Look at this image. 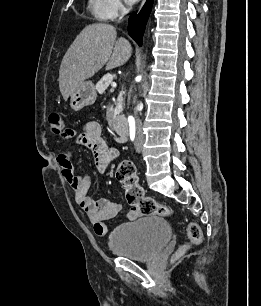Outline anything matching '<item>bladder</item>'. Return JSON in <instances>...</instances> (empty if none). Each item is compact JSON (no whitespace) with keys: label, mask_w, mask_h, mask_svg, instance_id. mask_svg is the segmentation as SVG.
<instances>
[{"label":"bladder","mask_w":261,"mask_h":306,"mask_svg":"<svg viewBox=\"0 0 261 306\" xmlns=\"http://www.w3.org/2000/svg\"><path fill=\"white\" fill-rule=\"evenodd\" d=\"M171 228L162 217L148 215L117 227L108 237L115 255L135 261L152 259L170 240Z\"/></svg>","instance_id":"1"}]
</instances>
